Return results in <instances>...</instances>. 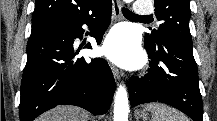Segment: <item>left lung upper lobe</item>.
Returning a JSON list of instances; mask_svg holds the SVG:
<instances>
[{
    "mask_svg": "<svg viewBox=\"0 0 217 121\" xmlns=\"http://www.w3.org/2000/svg\"><path fill=\"white\" fill-rule=\"evenodd\" d=\"M155 15L161 24L151 33H146L145 41L157 45L167 37L176 38L192 46L189 30L190 0H154Z\"/></svg>",
    "mask_w": 217,
    "mask_h": 121,
    "instance_id": "5c2ea615",
    "label": "left lung upper lobe"
}]
</instances>
